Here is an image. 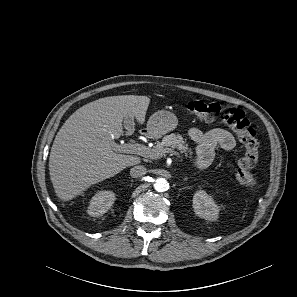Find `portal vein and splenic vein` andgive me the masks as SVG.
I'll list each match as a JSON object with an SVG mask.
<instances>
[{"label":"portal vein and splenic vein","mask_w":297,"mask_h":297,"mask_svg":"<svg viewBox=\"0 0 297 297\" xmlns=\"http://www.w3.org/2000/svg\"><path fill=\"white\" fill-rule=\"evenodd\" d=\"M115 149L119 152L138 154L143 157H149L152 159L158 157V155L155 153L154 149H151L149 147H146V146H144L142 144H138V143L115 145ZM173 155L180 157V155L178 153H173Z\"/></svg>","instance_id":"obj_1"}]
</instances>
